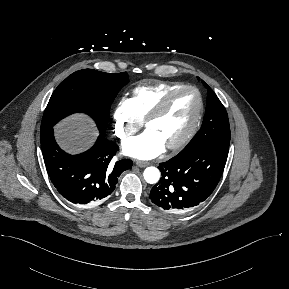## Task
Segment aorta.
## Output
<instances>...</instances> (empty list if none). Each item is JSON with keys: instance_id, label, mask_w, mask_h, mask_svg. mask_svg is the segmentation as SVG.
I'll list each match as a JSON object with an SVG mask.
<instances>
[{"instance_id": "762f6f07", "label": "aorta", "mask_w": 289, "mask_h": 289, "mask_svg": "<svg viewBox=\"0 0 289 289\" xmlns=\"http://www.w3.org/2000/svg\"><path fill=\"white\" fill-rule=\"evenodd\" d=\"M144 179L149 184H155L160 179V171L156 167H147L143 173Z\"/></svg>"}]
</instances>
